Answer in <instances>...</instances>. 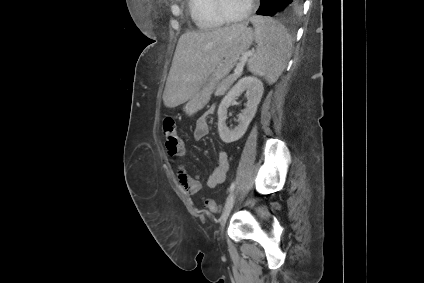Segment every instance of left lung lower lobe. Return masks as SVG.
<instances>
[{
	"instance_id": "obj_1",
	"label": "left lung lower lobe",
	"mask_w": 424,
	"mask_h": 283,
	"mask_svg": "<svg viewBox=\"0 0 424 283\" xmlns=\"http://www.w3.org/2000/svg\"><path fill=\"white\" fill-rule=\"evenodd\" d=\"M261 4L257 10L258 15L274 16L292 15L301 10L304 0H260Z\"/></svg>"
}]
</instances>
